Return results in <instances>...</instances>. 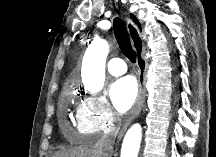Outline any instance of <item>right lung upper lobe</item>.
Here are the masks:
<instances>
[{"instance_id":"right-lung-upper-lobe-1","label":"right lung upper lobe","mask_w":216,"mask_h":157,"mask_svg":"<svg viewBox=\"0 0 216 157\" xmlns=\"http://www.w3.org/2000/svg\"><path fill=\"white\" fill-rule=\"evenodd\" d=\"M131 18H132V20H133L134 22H136V23H137V25H138V26H139V28L141 29V27H140V24H139L138 20L136 19V17H135L133 14H131Z\"/></svg>"}]
</instances>
